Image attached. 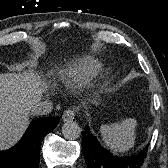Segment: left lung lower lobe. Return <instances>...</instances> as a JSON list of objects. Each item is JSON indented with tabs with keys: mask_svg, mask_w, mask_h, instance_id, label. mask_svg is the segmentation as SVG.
Here are the masks:
<instances>
[{
	"mask_svg": "<svg viewBox=\"0 0 168 168\" xmlns=\"http://www.w3.org/2000/svg\"><path fill=\"white\" fill-rule=\"evenodd\" d=\"M82 152L87 168H140L146 157L147 147L132 156H115L99 144L86 126L82 132Z\"/></svg>",
	"mask_w": 168,
	"mask_h": 168,
	"instance_id": "obj_1",
	"label": "left lung lower lobe"
}]
</instances>
